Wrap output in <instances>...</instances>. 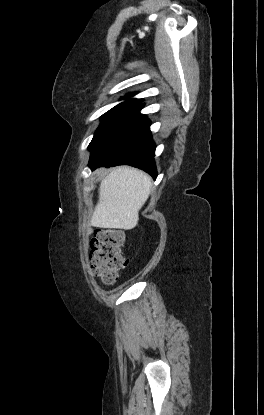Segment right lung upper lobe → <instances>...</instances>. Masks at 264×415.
<instances>
[{
	"instance_id": "cb5924a9",
	"label": "right lung upper lobe",
	"mask_w": 264,
	"mask_h": 415,
	"mask_svg": "<svg viewBox=\"0 0 264 415\" xmlns=\"http://www.w3.org/2000/svg\"><path fill=\"white\" fill-rule=\"evenodd\" d=\"M128 96H133V94H129ZM126 98V97H125ZM138 100V99H137Z\"/></svg>"
}]
</instances>
